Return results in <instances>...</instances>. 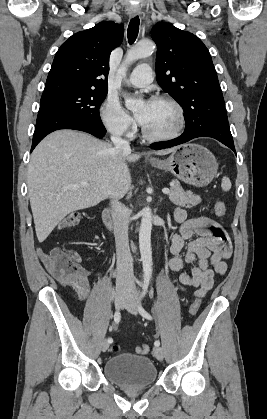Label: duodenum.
I'll return each instance as SVG.
<instances>
[{
    "label": "duodenum",
    "mask_w": 267,
    "mask_h": 419,
    "mask_svg": "<svg viewBox=\"0 0 267 419\" xmlns=\"http://www.w3.org/2000/svg\"><path fill=\"white\" fill-rule=\"evenodd\" d=\"M102 219H103V222H104L105 226L108 229H112L113 222H112L111 213H110L109 209H104V211L102 213Z\"/></svg>",
    "instance_id": "obj_1"
}]
</instances>
